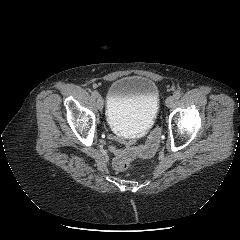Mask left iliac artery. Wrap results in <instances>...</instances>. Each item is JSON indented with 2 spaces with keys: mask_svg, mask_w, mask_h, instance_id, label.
Segmentation results:
<instances>
[{
  "mask_svg": "<svg viewBox=\"0 0 240 240\" xmlns=\"http://www.w3.org/2000/svg\"><path fill=\"white\" fill-rule=\"evenodd\" d=\"M181 96H182V93H181L180 91H176V92L174 93V97H175L176 99H179Z\"/></svg>",
  "mask_w": 240,
  "mask_h": 240,
  "instance_id": "1",
  "label": "left iliac artery"
}]
</instances>
